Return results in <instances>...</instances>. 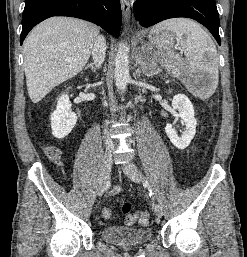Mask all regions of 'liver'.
<instances>
[{
    "instance_id": "obj_1",
    "label": "liver",
    "mask_w": 247,
    "mask_h": 257,
    "mask_svg": "<svg viewBox=\"0 0 247 257\" xmlns=\"http://www.w3.org/2000/svg\"><path fill=\"white\" fill-rule=\"evenodd\" d=\"M98 34L94 24L72 17H51L32 29L23 48L26 85L33 103L83 69Z\"/></svg>"
}]
</instances>
